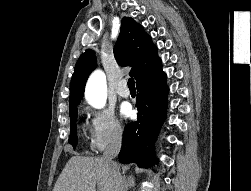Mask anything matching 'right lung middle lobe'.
<instances>
[{
    "instance_id": "dd1d6c3e",
    "label": "right lung middle lobe",
    "mask_w": 251,
    "mask_h": 191,
    "mask_svg": "<svg viewBox=\"0 0 251 191\" xmlns=\"http://www.w3.org/2000/svg\"><path fill=\"white\" fill-rule=\"evenodd\" d=\"M69 115H70V125H71L69 143L73 146V148H75L77 145V132H76V121L78 115L77 106L69 107Z\"/></svg>"
}]
</instances>
